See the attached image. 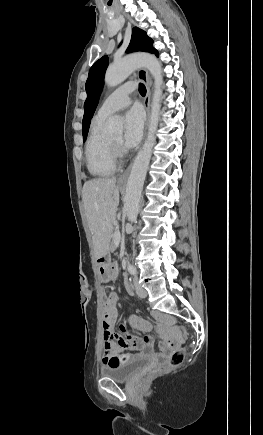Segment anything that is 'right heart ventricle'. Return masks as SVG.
<instances>
[{
  "label": "right heart ventricle",
  "instance_id": "1",
  "mask_svg": "<svg viewBox=\"0 0 263 435\" xmlns=\"http://www.w3.org/2000/svg\"><path fill=\"white\" fill-rule=\"evenodd\" d=\"M105 118L95 116L91 122L85 145L88 172L94 177H107L115 173L117 163L112 156L108 138L103 133Z\"/></svg>",
  "mask_w": 263,
  "mask_h": 435
}]
</instances>
